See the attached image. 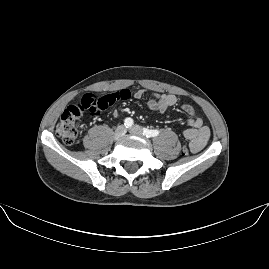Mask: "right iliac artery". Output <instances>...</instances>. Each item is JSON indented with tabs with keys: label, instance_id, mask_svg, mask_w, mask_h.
Here are the masks:
<instances>
[{
	"label": "right iliac artery",
	"instance_id": "obj_1",
	"mask_svg": "<svg viewBox=\"0 0 269 269\" xmlns=\"http://www.w3.org/2000/svg\"><path fill=\"white\" fill-rule=\"evenodd\" d=\"M124 125L126 128H129L133 125V120L131 118H126L124 121Z\"/></svg>",
	"mask_w": 269,
	"mask_h": 269
}]
</instances>
